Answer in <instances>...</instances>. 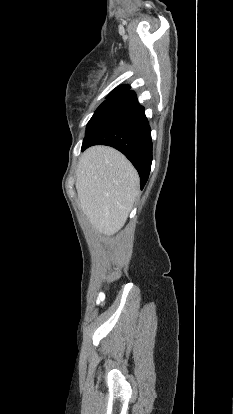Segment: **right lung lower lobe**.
<instances>
[{"label": "right lung lower lobe", "instance_id": "1", "mask_svg": "<svg viewBox=\"0 0 233 414\" xmlns=\"http://www.w3.org/2000/svg\"><path fill=\"white\" fill-rule=\"evenodd\" d=\"M108 145L121 151L147 182L152 162V139L144 107L136 94L126 90L105 100L87 124L81 151L92 145Z\"/></svg>", "mask_w": 233, "mask_h": 414}]
</instances>
